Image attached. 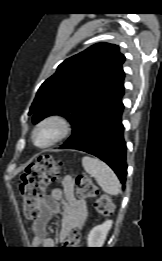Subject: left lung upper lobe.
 Masks as SVG:
<instances>
[{
    "label": "left lung upper lobe",
    "instance_id": "1",
    "mask_svg": "<svg viewBox=\"0 0 162 261\" xmlns=\"http://www.w3.org/2000/svg\"><path fill=\"white\" fill-rule=\"evenodd\" d=\"M124 61L119 47L109 43L92 45L66 59L39 88L29 111L33 123L61 115L74 132L124 89Z\"/></svg>",
    "mask_w": 162,
    "mask_h": 261
}]
</instances>
